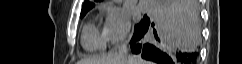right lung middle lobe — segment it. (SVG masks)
Listing matches in <instances>:
<instances>
[{
	"label": "right lung middle lobe",
	"mask_w": 242,
	"mask_h": 64,
	"mask_svg": "<svg viewBox=\"0 0 242 64\" xmlns=\"http://www.w3.org/2000/svg\"><path fill=\"white\" fill-rule=\"evenodd\" d=\"M87 12H81V18L86 14ZM150 20L146 16L144 17L141 22L135 26L134 34L138 31L142 30L144 27H146L149 24Z\"/></svg>",
	"instance_id": "1"
}]
</instances>
